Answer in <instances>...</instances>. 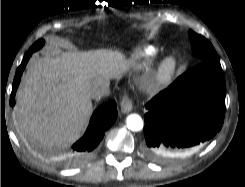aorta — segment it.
<instances>
[{"mask_svg":"<svg viewBox=\"0 0 245 187\" xmlns=\"http://www.w3.org/2000/svg\"><path fill=\"white\" fill-rule=\"evenodd\" d=\"M127 127L131 131H140L143 129V120L137 114H131L126 119Z\"/></svg>","mask_w":245,"mask_h":187,"instance_id":"1","label":"aorta"}]
</instances>
